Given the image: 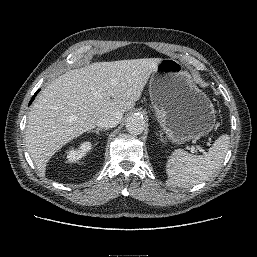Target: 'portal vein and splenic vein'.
Segmentation results:
<instances>
[{
	"label": "portal vein and splenic vein",
	"mask_w": 257,
	"mask_h": 257,
	"mask_svg": "<svg viewBox=\"0 0 257 257\" xmlns=\"http://www.w3.org/2000/svg\"><path fill=\"white\" fill-rule=\"evenodd\" d=\"M197 150L203 151L200 147H198L197 149H195V147H191V152L192 153H195Z\"/></svg>",
	"instance_id": "obj_1"
}]
</instances>
